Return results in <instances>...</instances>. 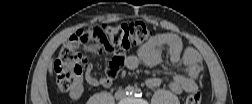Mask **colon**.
Masks as SVG:
<instances>
[{"label":"colon","mask_w":252,"mask_h":104,"mask_svg":"<svg viewBox=\"0 0 252 104\" xmlns=\"http://www.w3.org/2000/svg\"><path fill=\"white\" fill-rule=\"evenodd\" d=\"M152 36L150 28L140 21L113 26H92L89 29L78 30L62 47L54 62L58 89L69 93L81 91L82 72L87 59L80 47L90 51L89 43L95 41L101 49L114 54L106 74L115 78L123 64L124 52L141 45ZM200 101L201 93L197 86L188 95L187 102L198 104Z\"/></svg>","instance_id":"5ec220e1"}]
</instances>
